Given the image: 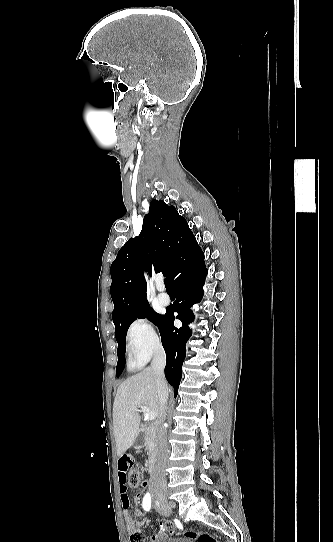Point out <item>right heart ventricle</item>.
<instances>
[{"label":"right heart ventricle","instance_id":"e07e8e85","mask_svg":"<svg viewBox=\"0 0 333 542\" xmlns=\"http://www.w3.org/2000/svg\"><path fill=\"white\" fill-rule=\"evenodd\" d=\"M128 361L133 368H141L146 363L147 358L138 351L130 348L128 352Z\"/></svg>","mask_w":333,"mask_h":542}]
</instances>
